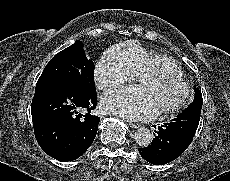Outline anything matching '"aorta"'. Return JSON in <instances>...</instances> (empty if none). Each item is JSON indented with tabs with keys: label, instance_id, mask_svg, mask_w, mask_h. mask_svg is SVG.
<instances>
[{
	"label": "aorta",
	"instance_id": "aorta-1",
	"mask_svg": "<svg viewBox=\"0 0 230 181\" xmlns=\"http://www.w3.org/2000/svg\"><path fill=\"white\" fill-rule=\"evenodd\" d=\"M134 139L140 147H148L152 143L153 134L149 129L140 127L136 131Z\"/></svg>",
	"mask_w": 230,
	"mask_h": 181
}]
</instances>
